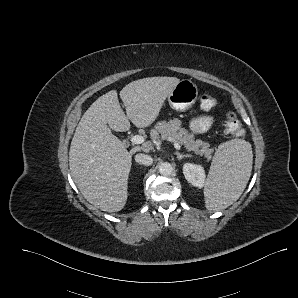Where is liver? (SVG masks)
<instances>
[{
    "mask_svg": "<svg viewBox=\"0 0 298 298\" xmlns=\"http://www.w3.org/2000/svg\"><path fill=\"white\" fill-rule=\"evenodd\" d=\"M179 81L169 76L134 80L120 91L126 114L117 91L111 90L96 99L81 117L70 144L69 166L79 191L95 207L106 212L123 208L131 157L139 150L135 147L128 152L110 128L127 131L130 121L137 127L149 125Z\"/></svg>",
    "mask_w": 298,
    "mask_h": 298,
    "instance_id": "6515ba94",
    "label": "liver"
}]
</instances>
